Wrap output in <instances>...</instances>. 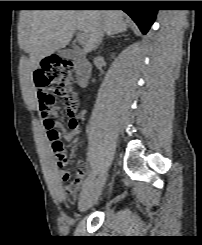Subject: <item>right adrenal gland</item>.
Returning a JSON list of instances; mask_svg holds the SVG:
<instances>
[{
    "label": "right adrenal gland",
    "instance_id": "right-adrenal-gland-1",
    "mask_svg": "<svg viewBox=\"0 0 202 245\" xmlns=\"http://www.w3.org/2000/svg\"><path fill=\"white\" fill-rule=\"evenodd\" d=\"M115 37H120V35H111L109 38H115Z\"/></svg>",
    "mask_w": 202,
    "mask_h": 245
}]
</instances>
